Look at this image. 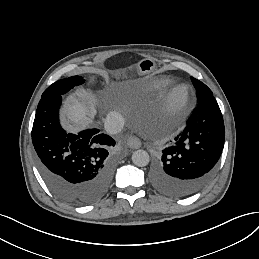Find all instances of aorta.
I'll list each match as a JSON object with an SVG mask.
<instances>
[{
  "instance_id": "aorta-1",
  "label": "aorta",
  "mask_w": 259,
  "mask_h": 259,
  "mask_svg": "<svg viewBox=\"0 0 259 259\" xmlns=\"http://www.w3.org/2000/svg\"><path fill=\"white\" fill-rule=\"evenodd\" d=\"M132 161L136 166L144 167L148 165L150 157L147 151L140 149L133 152Z\"/></svg>"
}]
</instances>
